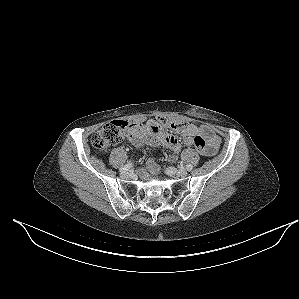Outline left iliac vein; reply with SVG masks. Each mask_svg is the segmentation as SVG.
I'll list each match as a JSON object with an SVG mask.
<instances>
[{
    "mask_svg": "<svg viewBox=\"0 0 299 299\" xmlns=\"http://www.w3.org/2000/svg\"><path fill=\"white\" fill-rule=\"evenodd\" d=\"M167 174L171 176H177V177H186L187 171L184 169H176L174 167H168L166 169Z\"/></svg>",
    "mask_w": 299,
    "mask_h": 299,
    "instance_id": "left-iliac-vein-1",
    "label": "left iliac vein"
}]
</instances>
